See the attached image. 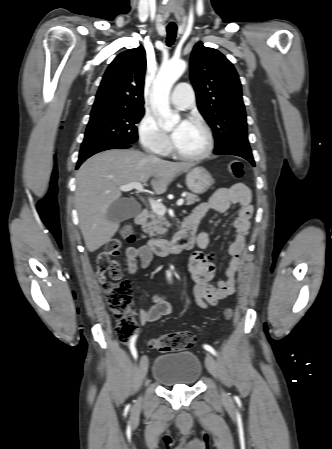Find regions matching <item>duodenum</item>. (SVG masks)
Returning <instances> with one entry per match:
<instances>
[{
	"label": "duodenum",
	"instance_id": "duodenum-1",
	"mask_svg": "<svg viewBox=\"0 0 332 449\" xmlns=\"http://www.w3.org/2000/svg\"><path fill=\"white\" fill-rule=\"evenodd\" d=\"M147 217V209H142L135 217V223L142 225L146 222ZM195 232L193 220L187 217L182 221L179 230L172 239H150L148 247L159 256H164L168 253H179L190 249L194 245Z\"/></svg>",
	"mask_w": 332,
	"mask_h": 449
}]
</instances>
